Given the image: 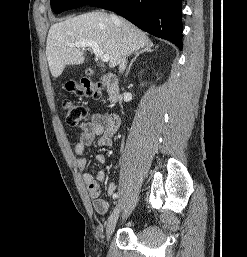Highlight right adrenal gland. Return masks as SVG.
Wrapping results in <instances>:
<instances>
[{"label": "right adrenal gland", "mask_w": 247, "mask_h": 257, "mask_svg": "<svg viewBox=\"0 0 247 257\" xmlns=\"http://www.w3.org/2000/svg\"><path fill=\"white\" fill-rule=\"evenodd\" d=\"M153 50L150 48V47H145L144 49H142L141 51L139 52H136L135 54V57L132 59L128 69L126 70V73H125V76H128L129 74V71L133 65V63L136 61V59L139 57V55L143 54V53H149V52H152Z\"/></svg>", "instance_id": "2a0ac1e0"}]
</instances>
